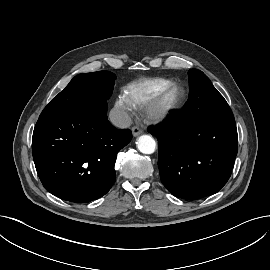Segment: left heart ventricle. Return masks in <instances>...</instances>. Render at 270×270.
<instances>
[{"label":"left heart ventricle","mask_w":270,"mask_h":270,"mask_svg":"<svg viewBox=\"0 0 270 270\" xmlns=\"http://www.w3.org/2000/svg\"><path fill=\"white\" fill-rule=\"evenodd\" d=\"M176 96V93H173L172 95H171V97H175Z\"/></svg>","instance_id":"1"}]
</instances>
